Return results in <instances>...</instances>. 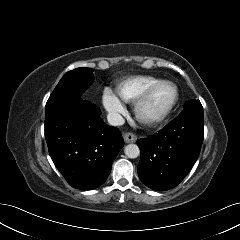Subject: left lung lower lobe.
<instances>
[{"mask_svg": "<svg viewBox=\"0 0 240 240\" xmlns=\"http://www.w3.org/2000/svg\"><path fill=\"white\" fill-rule=\"evenodd\" d=\"M204 138L201 103L182 112L158 133L138 139V175L147 187L166 191L176 187L196 162Z\"/></svg>", "mask_w": 240, "mask_h": 240, "instance_id": "left-lung-lower-lobe-1", "label": "left lung lower lobe"}]
</instances>
